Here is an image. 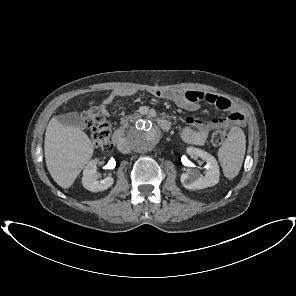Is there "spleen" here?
<instances>
[{
  "label": "spleen",
  "instance_id": "3e777b00",
  "mask_svg": "<svg viewBox=\"0 0 296 296\" xmlns=\"http://www.w3.org/2000/svg\"><path fill=\"white\" fill-rule=\"evenodd\" d=\"M246 150V137L240 127L231 128L224 144L218 150V159L225 177L233 179L241 169Z\"/></svg>",
  "mask_w": 296,
  "mask_h": 296
}]
</instances>
